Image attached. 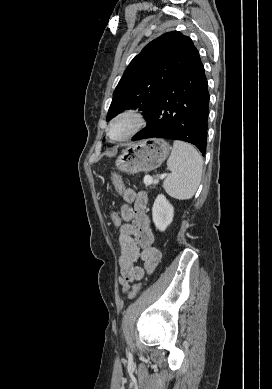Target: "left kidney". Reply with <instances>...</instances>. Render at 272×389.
<instances>
[{
	"label": "left kidney",
	"mask_w": 272,
	"mask_h": 389,
	"mask_svg": "<svg viewBox=\"0 0 272 389\" xmlns=\"http://www.w3.org/2000/svg\"><path fill=\"white\" fill-rule=\"evenodd\" d=\"M174 208L163 194L157 196L152 208V219L157 229L165 231L173 221Z\"/></svg>",
	"instance_id": "obj_1"
}]
</instances>
